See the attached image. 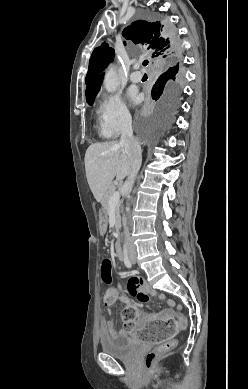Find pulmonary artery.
<instances>
[{"label": "pulmonary artery", "mask_w": 248, "mask_h": 389, "mask_svg": "<svg viewBox=\"0 0 248 389\" xmlns=\"http://www.w3.org/2000/svg\"><path fill=\"white\" fill-rule=\"evenodd\" d=\"M138 66L135 65V69H137ZM142 79V74L139 71H134L130 75V80L134 83L139 82Z\"/></svg>", "instance_id": "e3ab8cb5"}]
</instances>
